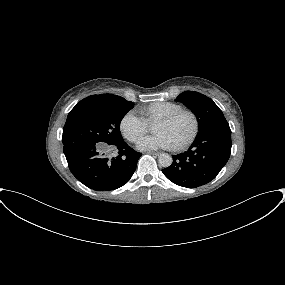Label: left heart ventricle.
<instances>
[{"label": "left heart ventricle", "instance_id": "b2bd125f", "mask_svg": "<svg viewBox=\"0 0 285 285\" xmlns=\"http://www.w3.org/2000/svg\"><path fill=\"white\" fill-rule=\"evenodd\" d=\"M192 126L191 118L187 115H183L170 123H154L153 131L167 135L175 146L187 138L192 130Z\"/></svg>", "mask_w": 285, "mask_h": 285}]
</instances>
